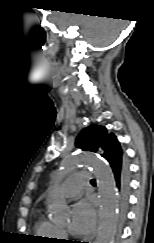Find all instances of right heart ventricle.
I'll return each mask as SVG.
<instances>
[{"instance_id": "1", "label": "right heart ventricle", "mask_w": 154, "mask_h": 243, "mask_svg": "<svg viewBox=\"0 0 154 243\" xmlns=\"http://www.w3.org/2000/svg\"><path fill=\"white\" fill-rule=\"evenodd\" d=\"M35 230L39 236L50 240H58L63 236L61 228L44 214H39Z\"/></svg>"}]
</instances>
